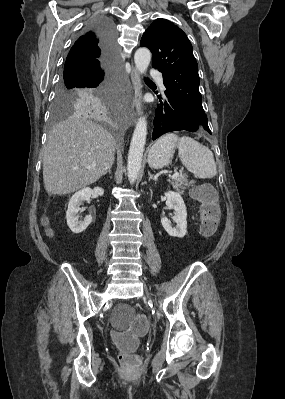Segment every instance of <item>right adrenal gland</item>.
Here are the masks:
<instances>
[{
	"label": "right adrenal gland",
	"instance_id": "right-adrenal-gland-1",
	"mask_svg": "<svg viewBox=\"0 0 285 399\" xmlns=\"http://www.w3.org/2000/svg\"><path fill=\"white\" fill-rule=\"evenodd\" d=\"M106 173L111 174V167H109V168L107 169Z\"/></svg>",
	"mask_w": 285,
	"mask_h": 399
}]
</instances>
